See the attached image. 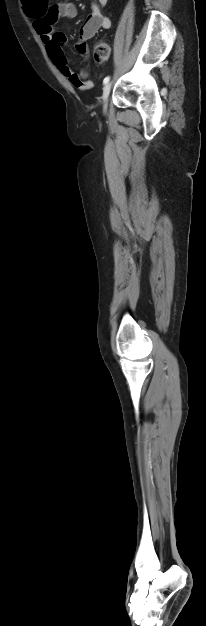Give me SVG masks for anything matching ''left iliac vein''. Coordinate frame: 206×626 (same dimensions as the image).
<instances>
[{
	"label": "left iliac vein",
	"instance_id": "obj_1",
	"mask_svg": "<svg viewBox=\"0 0 206 626\" xmlns=\"http://www.w3.org/2000/svg\"><path fill=\"white\" fill-rule=\"evenodd\" d=\"M111 85H112V84H111V82H109V83H107V84L104 86V89H103L102 100H103V108H104V111H105V110H106V108H107V101H108V96H109V93H110V90H111Z\"/></svg>",
	"mask_w": 206,
	"mask_h": 626
}]
</instances>
